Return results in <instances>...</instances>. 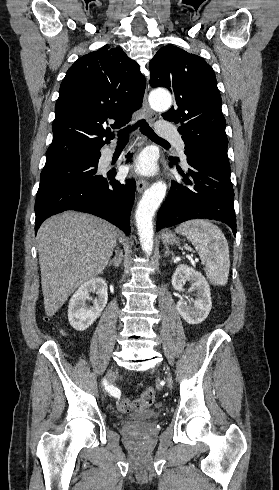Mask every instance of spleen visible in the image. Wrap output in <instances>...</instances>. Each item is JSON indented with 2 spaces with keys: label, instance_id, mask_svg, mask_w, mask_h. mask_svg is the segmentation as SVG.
I'll return each instance as SVG.
<instances>
[{
  "label": "spleen",
  "instance_id": "spleen-1",
  "mask_svg": "<svg viewBox=\"0 0 279 490\" xmlns=\"http://www.w3.org/2000/svg\"><path fill=\"white\" fill-rule=\"evenodd\" d=\"M176 234L192 242L206 264V276L213 286H225L229 278L230 258L227 240L218 226L209 220H190L178 226Z\"/></svg>",
  "mask_w": 279,
  "mask_h": 490
}]
</instances>
